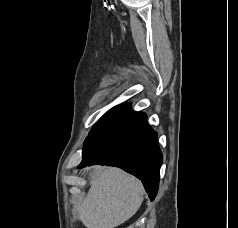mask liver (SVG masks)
Segmentation results:
<instances>
[{"instance_id": "1", "label": "liver", "mask_w": 238, "mask_h": 228, "mask_svg": "<svg viewBox=\"0 0 238 228\" xmlns=\"http://www.w3.org/2000/svg\"><path fill=\"white\" fill-rule=\"evenodd\" d=\"M86 198L75 204L86 228H115L130 219L143 202L142 183L115 167H92Z\"/></svg>"}]
</instances>
